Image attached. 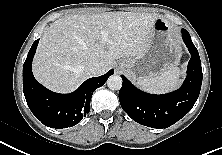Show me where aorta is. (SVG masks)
Instances as JSON below:
<instances>
[{
	"mask_svg": "<svg viewBox=\"0 0 222 155\" xmlns=\"http://www.w3.org/2000/svg\"><path fill=\"white\" fill-rule=\"evenodd\" d=\"M107 86L111 90H120L122 87V78L118 75H112L107 79Z\"/></svg>",
	"mask_w": 222,
	"mask_h": 155,
	"instance_id": "1",
	"label": "aorta"
}]
</instances>
